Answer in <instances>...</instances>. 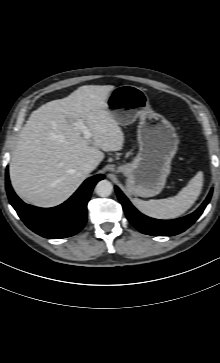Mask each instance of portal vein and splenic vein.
<instances>
[{"mask_svg": "<svg viewBox=\"0 0 220 363\" xmlns=\"http://www.w3.org/2000/svg\"><path fill=\"white\" fill-rule=\"evenodd\" d=\"M75 125L78 129L81 130L83 136L86 138V139H89L91 136H92V132L89 130V128L84 124L83 120L81 119H78L76 122H75Z\"/></svg>", "mask_w": 220, "mask_h": 363, "instance_id": "1", "label": "portal vein and splenic vein"}]
</instances>
